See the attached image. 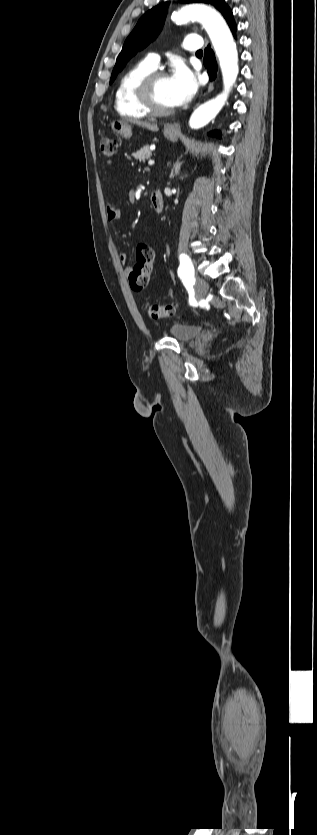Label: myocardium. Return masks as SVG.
Returning <instances> with one entry per match:
<instances>
[{"label": "myocardium", "instance_id": "obj_1", "mask_svg": "<svg viewBox=\"0 0 317 835\" xmlns=\"http://www.w3.org/2000/svg\"><path fill=\"white\" fill-rule=\"evenodd\" d=\"M162 78H167L165 72L152 71L140 81L136 89L137 98L140 104L151 116H168L174 112V107L164 108L156 101L155 86Z\"/></svg>", "mask_w": 317, "mask_h": 835}]
</instances>
